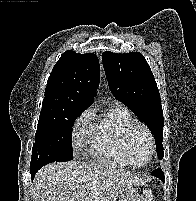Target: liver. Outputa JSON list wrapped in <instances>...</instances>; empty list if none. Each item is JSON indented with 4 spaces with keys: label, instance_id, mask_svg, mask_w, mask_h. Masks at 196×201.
Returning a JSON list of instances; mask_svg holds the SVG:
<instances>
[{
    "label": "liver",
    "instance_id": "obj_1",
    "mask_svg": "<svg viewBox=\"0 0 196 201\" xmlns=\"http://www.w3.org/2000/svg\"><path fill=\"white\" fill-rule=\"evenodd\" d=\"M140 184L111 162H54L37 172L31 195L34 201H116L123 187Z\"/></svg>",
    "mask_w": 196,
    "mask_h": 201
}]
</instances>
